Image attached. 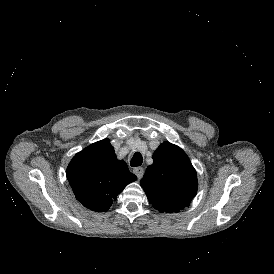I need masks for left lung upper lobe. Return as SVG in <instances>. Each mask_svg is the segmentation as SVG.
I'll list each match as a JSON object with an SVG mask.
<instances>
[{"label": "left lung upper lobe", "mask_w": 274, "mask_h": 274, "mask_svg": "<svg viewBox=\"0 0 274 274\" xmlns=\"http://www.w3.org/2000/svg\"><path fill=\"white\" fill-rule=\"evenodd\" d=\"M141 186L149 202L160 212H178L190 205L197 192V174L185 152L162 143L153 154Z\"/></svg>", "instance_id": "5c2ea615"}]
</instances>
